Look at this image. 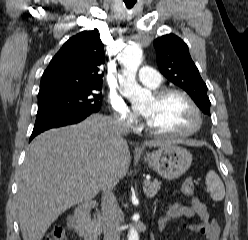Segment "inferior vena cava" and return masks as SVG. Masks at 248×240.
Wrapping results in <instances>:
<instances>
[{
	"instance_id": "1",
	"label": "inferior vena cava",
	"mask_w": 248,
	"mask_h": 240,
	"mask_svg": "<svg viewBox=\"0 0 248 240\" xmlns=\"http://www.w3.org/2000/svg\"><path fill=\"white\" fill-rule=\"evenodd\" d=\"M115 128L119 133L126 134L129 132V126L120 120L114 121ZM116 182L109 179L102 188L101 211H102V227L104 240H120L118 211L116 197L113 188Z\"/></svg>"
}]
</instances>
